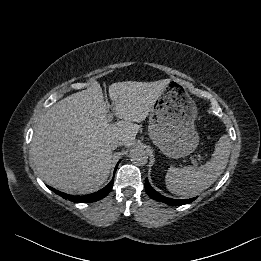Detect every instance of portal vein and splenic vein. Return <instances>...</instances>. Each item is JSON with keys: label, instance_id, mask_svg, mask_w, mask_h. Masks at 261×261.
<instances>
[{"label": "portal vein and splenic vein", "instance_id": "obj_1", "mask_svg": "<svg viewBox=\"0 0 261 261\" xmlns=\"http://www.w3.org/2000/svg\"><path fill=\"white\" fill-rule=\"evenodd\" d=\"M112 119H113V114L111 113V114H109V115L107 116V121H108V122H111ZM198 157H199V158H202L200 155H198ZM192 161H193V163L195 164V161H194V160H192Z\"/></svg>", "mask_w": 261, "mask_h": 261}]
</instances>
